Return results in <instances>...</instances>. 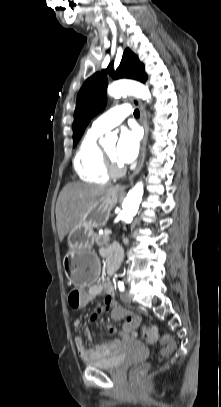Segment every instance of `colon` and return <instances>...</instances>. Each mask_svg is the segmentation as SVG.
<instances>
[{
	"label": "colon",
	"instance_id": "1",
	"mask_svg": "<svg viewBox=\"0 0 221 407\" xmlns=\"http://www.w3.org/2000/svg\"><path fill=\"white\" fill-rule=\"evenodd\" d=\"M88 294V286H72L70 288L68 299V304L71 311H84L87 304L86 295ZM109 314L114 321L123 322L121 325L124 330H135L142 327V322L139 320L141 318L139 316L141 313L139 311H131L124 305H115L113 309L110 310ZM135 315L137 316L133 317ZM142 335L145 340L153 343L158 339L159 331L158 328L155 326L143 327ZM162 343L165 345V347L161 350V355L163 356L170 355L176 348L175 340L170 336L163 337ZM146 370V364H141L133 367L130 372L131 380L134 383L139 382L145 374Z\"/></svg>",
	"mask_w": 221,
	"mask_h": 407
}]
</instances>
